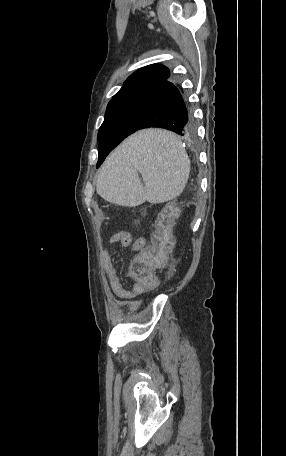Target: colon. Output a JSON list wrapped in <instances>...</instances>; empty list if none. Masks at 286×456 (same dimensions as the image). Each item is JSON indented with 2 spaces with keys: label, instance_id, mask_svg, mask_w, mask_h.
<instances>
[{
  "label": "colon",
  "instance_id": "5ec220e1",
  "mask_svg": "<svg viewBox=\"0 0 286 456\" xmlns=\"http://www.w3.org/2000/svg\"><path fill=\"white\" fill-rule=\"evenodd\" d=\"M170 249L169 234L163 220H158L151 238V244L139 248V254L130 267L134 287L139 291L154 289L159 284L156 270L165 267Z\"/></svg>",
  "mask_w": 286,
  "mask_h": 456
}]
</instances>
